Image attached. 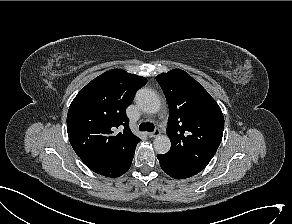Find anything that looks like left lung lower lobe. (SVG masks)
Instances as JSON below:
<instances>
[{
    "instance_id": "left-lung-lower-lobe-1",
    "label": "left lung lower lobe",
    "mask_w": 292,
    "mask_h": 224,
    "mask_svg": "<svg viewBox=\"0 0 292 224\" xmlns=\"http://www.w3.org/2000/svg\"><path fill=\"white\" fill-rule=\"evenodd\" d=\"M157 158L159 159L160 166L163 171L175 179L189 178L198 173L182 166L175 160L168 158L163 154H158Z\"/></svg>"
}]
</instances>
